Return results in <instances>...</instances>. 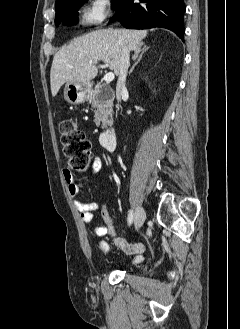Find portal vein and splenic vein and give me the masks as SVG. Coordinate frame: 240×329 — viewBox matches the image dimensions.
<instances>
[{
  "mask_svg": "<svg viewBox=\"0 0 240 329\" xmlns=\"http://www.w3.org/2000/svg\"><path fill=\"white\" fill-rule=\"evenodd\" d=\"M93 64H94V62H92V61L89 62V65H93ZM100 67L105 68V67H108V65L107 64L106 65H101ZM113 80H114V73H112V72H109L104 76V81L105 82H111Z\"/></svg>",
  "mask_w": 240,
  "mask_h": 329,
  "instance_id": "portal-vein-and-splenic-vein-1",
  "label": "portal vein and splenic vein"
}]
</instances>
